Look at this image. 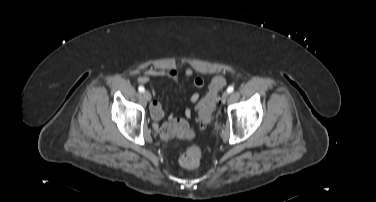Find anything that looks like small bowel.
I'll use <instances>...</instances> for the list:
<instances>
[{
  "label": "small bowel",
  "instance_id": "small-bowel-1",
  "mask_svg": "<svg viewBox=\"0 0 376 202\" xmlns=\"http://www.w3.org/2000/svg\"><path fill=\"white\" fill-rule=\"evenodd\" d=\"M184 76L186 78H191L194 76V73L191 69H186L184 71ZM151 77H163L176 83L178 82L179 74L175 69H171V68H150V69H147L144 72V74L138 78V83L145 85L150 82ZM193 85L196 89H200L204 85V80L201 77H194ZM199 99H200V94L198 92H194L190 96V101L192 103L198 102ZM150 113L153 119L156 121H159L163 118L164 112L159 101L154 100L151 102ZM184 115L185 117L190 118L192 116V110L186 109L184 112ZM169 122L176 123V122H185V121L177 116L171 115L169 117ZM158 128H159L158 126H155V129H158Z\"/></svg>",
  "mask_w": 376,
  "mask_h": 202
}]
</instances>
